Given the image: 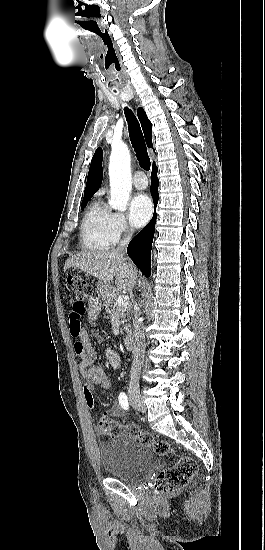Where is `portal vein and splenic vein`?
<instances>
[{
	"instance_id": "portal-vein-and-splenic-vein-1",
	"label": "portal vein and splenic vein",
	"mask_w": 265,
	"mask_h": 550,
	"mask_svg": "<svg viewBox=\"0 0 265 550\" xmlns=\"http://www.w3.org/2000/svg\"><path fill=\"white\" fill-rule=\"evenodd\" d=\"M116 304L119 306H125L129 304V297L128 296H119L117 298Z\"/></svg>"
}]
</instances>
